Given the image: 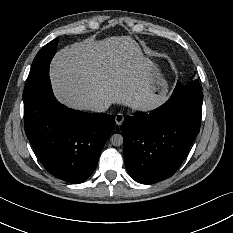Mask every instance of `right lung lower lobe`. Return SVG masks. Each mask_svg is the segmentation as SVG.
Instances as JSON below:
<instances>
[{
    "label": "right lung lower lobe",
    "mask_w": 233,
    "mask_h": 233,
    "mask_svg": "<svg viewBox=\"0 0 233 233\" xmlns=\"http://www.w3.org/2000/svg\"><path fill=\"white\" fill-rule=\"evenodd\" d=\"M25 132L44 167L72 184L95 170L114 116L69 109L54 97L48 78L24 99Z\"/></svg>",
    "instance_id": "98d812e1"
}]
</instances>
